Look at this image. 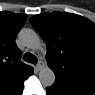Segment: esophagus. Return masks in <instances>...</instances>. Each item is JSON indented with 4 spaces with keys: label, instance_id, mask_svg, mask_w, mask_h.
I'll return each instance as SVG.
<instances>
[{
    "label": "esophagus",
    "instance_id": "obj_1",
    "mask_svg": "<svg viewBox=\"0 0 95 95\" xmlns=\"http://www.w3.org/2000/svg\"><path fill=\"white\" fill-rule=\"evenodd\" d=\"M44 67V63L42 61H39L36 65V70L40 71Z\"/></svg>",
    "mask_w": 95,
    "mask_h": 95
}]
</instances>
